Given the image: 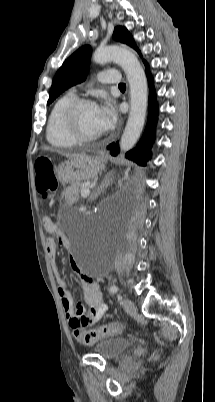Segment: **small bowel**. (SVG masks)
Segmentation results:
<instances>
[{
  "label": "small bowel",
  "mask_w": 215,
  "mask_h": 402,
  "mask_svg": "<svg viewBox=\"0 0 215 402\" xmlns=\"http://www.w3.org/2000/svg\"><path fill=\"white\" fill-rule=\"evenodd\" d=\"M46 231L50 233H56L58 243L64 248L69 247L70 242L67 236L63 232L58 230L54 223H52L50 228H46ZM46 248L53 272L57 279V283L59 286L58 293L69 325L73 329H76L82 328L83 326H89L98 322L107 311V306L103 301L100 285L98 284V282L93 278L82 274L76 263L72 262V269L81 275L84 299L89 308L87 309L83 305L74 306L73 298L67 291L65 280L61 277L57 266L56 241L53 238H48L46 240Z\"/></svg>",
  "instance_id": "c3829d8e"
}]
</instances>
